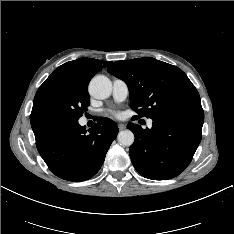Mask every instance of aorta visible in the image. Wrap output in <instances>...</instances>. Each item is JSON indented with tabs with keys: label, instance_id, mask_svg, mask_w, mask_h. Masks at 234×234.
I'll list each match as a JSON object with an SVG mask.
<instances>
[{
	"label": "aorta",
	"instance_id": "1",
	"mask_svg": "<svg viewBox=\"0 0 234 234\" xmlns=\"http://www.w3.org/2000/svg\"><path fill=\"white\" fill-rule=\"evenodd\" d=\"M89 92L96 99H106L112 92V83L106 76L98 75L90 81ZM117 139L121 145L131 146L134 142V134L130 130L120 131Z\"/></svg>",
	"mask_w": 234,
	"mask_h": 234
}]
</instances>
